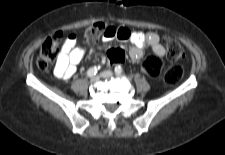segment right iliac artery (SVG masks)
<instances>
[{
    "mask_svg": "<svg viewBox=\"0 0 225 155\" xmlns=\"http://www.w3.org/2000/svg\"><path fill=\"white\" fill-rule=\"evenodd\" d=\"M99 69H100V66H94V67L89 68L87 71V76L93 77L94 75H96V73L98 72Z\"/></svg>",
    "mask_w": 225,
    "mask_h": 155,
    "instance_id": "82829eb1",
    "label": "right iliac artery"
}]
</instances>
